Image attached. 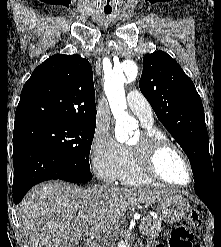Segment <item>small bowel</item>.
<instances>
[{
    "label": "small bowel",
    "mask_w": 221,
    "mask_h": 247,
    "mask_svg": "<svg viewBox=\"0 0 221 247\" xmlns=\"http://www.w3.org/2000/svg\"><path fill=\"white\" fill-rule=\"evenodd\" d=\"M148 247H161V246H158V245H156V246H153V245H149Z\"/></svg>",
    "instance_id": "c3829d8e"
}]
</instances>
